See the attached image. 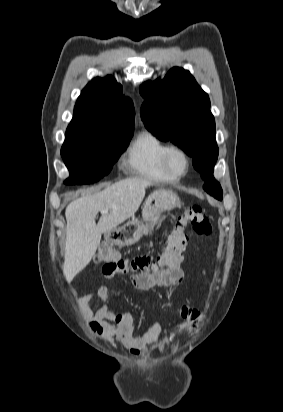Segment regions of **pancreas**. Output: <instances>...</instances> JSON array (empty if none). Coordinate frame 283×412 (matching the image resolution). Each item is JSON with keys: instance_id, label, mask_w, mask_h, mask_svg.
Masks as SVG:
<instances>
[{"instance_id": "cf45deb5", "label": "pancreas", "mask_w": 283, "mask_h": 412, "mask_svg": "<svg viewBox=\"0 0 283 412\" xmlns=\"http://www.w3.org/2000/svg\"><path fill=\"white\" fill-rule=\"evenodd\" d=\"M148 232H149V227L146 225L143 228L142 234H148Z\"/></svg>"}]
</instances>
